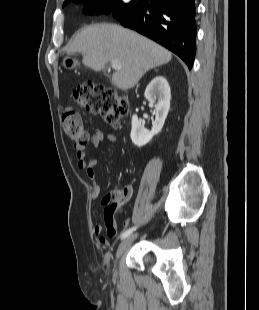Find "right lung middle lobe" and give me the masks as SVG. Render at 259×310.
Listing matches in <instances>:
<instances>
[{
  "label": "right lung middle lobe",
  "instance_id": "obj_1",
  "mask_svg": "<svg viewBox=\"0 0 259 310\" xmlns=\"http://www.w3.org/2000/svg\"><path fill=\"white\" fill-rule=\"evenodd\" d=\"M74 2H83L86 7L84 8V13L88 14H99V13H109L120 19L125 13L130 11L136 2L132 1L125 3L122 0H96V1H86V0H73ZM67 1L64 5L68 4Z\"/></svg>",
  "mask_w": 259,
  "mask_h": 310
}]
</instances>
